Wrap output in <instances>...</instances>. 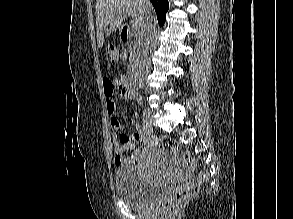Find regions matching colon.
<instances>
[{
  "mask_svg": "<svg viewBox=\"0 0 293 219\" xmlns=\"http://www.w3.org/2000/svg\"><path fill=\"white\" fill-rule=\"evenodd\" d=\"M126 56L125 50L122 47L109 44L107 46V57L111 64H116L122 61ZM120 93L126 94L124 88L120 87ZM158 146L166 153L173 155L176 159L187 169L193 170L196 168L195 159L186 152H180L178 142L171 137H161L158 139ZM209 180V174L207 171H201L197 179L194 181L186 182L178 187L167 200V205L175 207L182 204L190 196H192L199 186L206 183Z\"/></svg>",
  "mask_w": 293,
  "mask_h": 219,
  "instance_id": "1",
  "label": "colon"
}]
</instances>
